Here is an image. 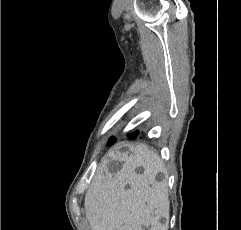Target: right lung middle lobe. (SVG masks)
<instances>
[{
    "mask_svg": "<svg viewBox=\"0 0 241 230\" xmlns=\"http://www.w3.org/2000/svg\"><path fill=\"white\" fill-rule=\"evenodd\" d=\"M136 136H137V134L132 133V134H129V135H128V138H129V139H135ZM115 141H116L115 138L112 137V138L109 140L110 145H112Z\"/></svg>",
    "mask_w": 241,
    "mask_h": 230,
    "instance_id": "obj_1",
    "label": "right lung middle lobe"
}]
</instances>
